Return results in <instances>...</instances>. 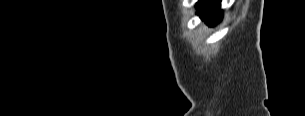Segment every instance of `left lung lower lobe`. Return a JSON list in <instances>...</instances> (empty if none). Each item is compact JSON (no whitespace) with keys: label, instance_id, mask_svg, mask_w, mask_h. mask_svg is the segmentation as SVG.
<instances>
[{"label":"left lung lower lobe","instance_id":"0a47b994","mask_svg":"<svg viewBox=\"0 0 305 116\" xmlns=\"http://www.w3.org/2000/svg\"><path fill=\"white\" fill-rule=\"evenodd\" d=\"M196 7L209 23L214 24L221 20L220 0H200Z\"/></svg>","mask_w":305,"mask_h":116}]
</instances>
